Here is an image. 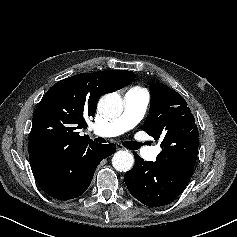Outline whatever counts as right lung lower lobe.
<instances>
[{
  "label": "right lung lower lobe",
  "instance_id": "98d812e1",
  "mask_svg": "<svg viewBox=\"0 0 237 237\" xmlns=\"http://www.w3.org/2000/svg\"><path fill=\"white\" fill-rule=\"evenodd\" d=\"M115 151L113 143L94 142L79 148L58 166L34 173V177L39 186L54 198H76L89 187L99 163Z\"/></svg>",
  "mask_w": 237,
  "mask_h": 237
}]
</instances>
